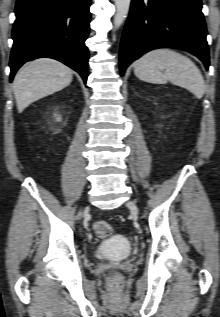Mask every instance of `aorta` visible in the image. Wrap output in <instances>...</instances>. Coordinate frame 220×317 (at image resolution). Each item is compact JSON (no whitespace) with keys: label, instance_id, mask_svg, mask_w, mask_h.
<instances>
[{"label":"aorta","instance_id":"obj_1","mask_svg":"<svg viewBox=\"0 0 220 317\" xmlns=\"http://www.w3.org/2000/svg\"><path fill=\"white\" fill-rule=\"evenodd\" d=\"M116 13L114 16V26L118 29L124 22L129 12L131 0H114Z\"/></svg>","mask_w":220,"mask_h":317}]
</instances>
